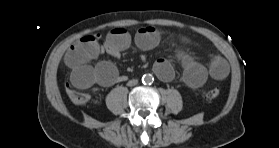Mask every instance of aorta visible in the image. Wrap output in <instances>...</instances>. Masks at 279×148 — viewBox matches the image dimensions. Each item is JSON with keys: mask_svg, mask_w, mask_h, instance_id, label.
I'll return each instance as SVG.
<instances>
[{"mask_svg": "<svg viewBox=\"0 0 279 148\" xmlns=\"http://www.w3.org/2000/svg\"><path fill=\"white\" fill-rule=\"evenodd\" d=\"M154 78L151 74H145L142 77V82L144 84H151L153 82Z\"/></svg>", "mask_w": 279, "mask_h": 148, "instance_id": "762f6f07", "label": "aorta"}]
</instances>
